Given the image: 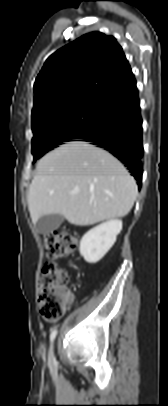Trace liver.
I'll return each mask as SVG.
<instances>
[{
  "label": "liver",
  "mask_w": 168,
  "mask_h": 406,
  "mask_svg": "<svg viewBox=\"0 0 168 406\" xmlns=\"http://www.w3.org/2000/svg\"><path fill=\"white\" fill-rule=\"evenodd\" d=\"M36 170L28 191L34 224L49 214L79 226L124 217L137 197L136 182L126 168L87 142L61 145L40 159Z\"/></svg>",
  "instance_id": "obj_1"
}]
</instances>
